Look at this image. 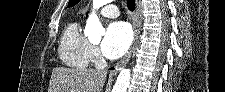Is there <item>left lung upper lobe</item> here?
I'll list each match as a JSON object with an SVG mask.
<instances>
[{"mask_svg": "<svg viewBox=\"0 0 225 92\" xmlns=\"http://www.w3.org/2000/svg\"><path fill=\"white\" fill-rule=\"evenodd\" d=\"M80 0H70L68 7L74 6L75 4H77Z\"/></svg>", "mask_w": 225, "mask_h": 92, "instance_id": "left-lung-upper-lobe-1", "label": "left lung upper lobe"}]
</instances>
